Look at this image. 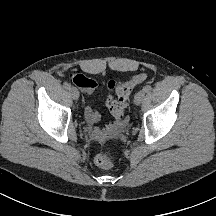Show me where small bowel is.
Segmentation results:
<instances>
[{"mask_svg": "<svg viewBox=\"0 0 216 216\" xmlns=\"http://www.w3.org/2000/svg\"><path fill=\"white\" fill-rule=\"evenodd\" d=\"M74 82V80H73ZM85 95H91L97 88L98 84L95 80L82 75V79L78 82H74ZM111 97L109 96L106 101V105H109ZM85 118L91 123H97L101 120V114L95 110L92 106L87 105L85 107ZM119 131V124L113 123L103 128H95L92 130V136L97 140H104L107 137L115 135Z\"/></svg>", "mask_w": 216, "mask_h": 216, "instance_id": "1", "label": "small bowel"}]
</instances>
